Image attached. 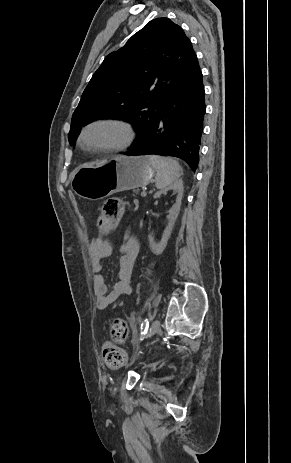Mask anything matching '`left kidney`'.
<instances>
[{"mask_svg":"<svg viewBox=\"0 0 291 463\" xmlns=\"http://www.w3.org/2000/svg\"><path fill=\"white\" fill-rule=\"evenodd\" d=\"M168 190H173L175 193H177L176 202L172 206V208L169 210V214L167 216L168 221H169L168 225L163 232L160 242H155L154 237L152 235H149L150 248L152 252L156 255H159L164 251L167 245L168 239L170 238L175 221L178 217L180 206H181V200L183 196V191H184L183 182L181 180L174 182L166 189L157 192L154 195V199H157L162 194L166 193Z\"/></svg>","mask_w":291,"mask_h":463,"instance_id":"1","label":"left kidney"}]
</instances>
